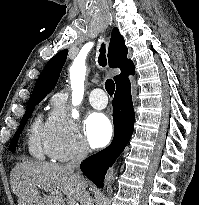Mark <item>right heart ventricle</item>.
<instances>
[{
    "label": "right heart ventricle",
    "mask_w": 199,
    "mask_h": 205,
    "mask_svg": "<svg viewBox=\"0 0 199 205\" xmlns=\"http://www.w3.org/2000/svg\"><path fill=\"white\" fill-rule=\"evenodd\" d=\"M28 150L32 156L40 160H43L46 154L48 155L44 127L40 125L39 120L34 123L29 133Z\"/></svg>",
    "instance_id": "e07e8e85"
}]
</instances>
